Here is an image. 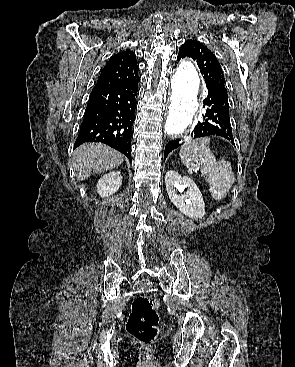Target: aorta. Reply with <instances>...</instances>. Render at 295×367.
<instances>
[{"instance_id": "obj_1", "label": "aorta", "mask_w": 295, "mask_h": 367, "mask_svg": "<svg viewBox=\"0 0 295 367\" xmlns=\"http://www.w3.org/2000/svg\"><path fill=\"white\" fill-rule=\"evenodd\" d=\"M200 78L191 61L183 60L171 80V104L165 131L172 137L181 136L191 125L198 109Z\"/></svg>"}]
</instances>
